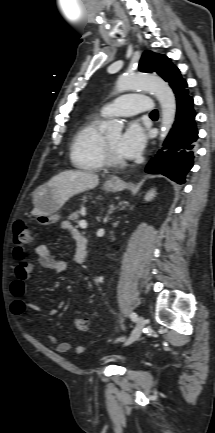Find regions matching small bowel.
I'll use <instances>...</instances> for the list:
<instances>
[{"label": "small bowel", "mask_w": 215, "mask_h": 433, "mask_svg": "<svg viewBox=\"0 0 215 433\" xmlns=\"http://www.w3.org/2000/svg\"><path fill=\"white\" fill-rule=\"evenodd\" d=\"M62 227L65 230H68L76 243L75 248V257L74 260L76 263H79V250L80 246L86 239L84 236L75 229L70 222H64ZM19 251L15 250V257L19 260L14 269V278L10 283V293L14 298L12 304V311L15 315L23 317L27 319V312L29 310H37L38 307L32 303H29L25 300L24 296L26 293V282L30 277L31 271L33 269V264L24 259L25 252L21 253L23 256H19ZM35 255L39 260V263L47 268L52 269L56 273H64L67 270V263L63 260L55 259L52 255L49 247L47 245H38L35 248ZM56 313L55 310L50 312V315H54ZM50 341L56 346V350L59 353H66L71 349V344L67 341L59 342L57 337L54 335L50 336ZM76 352L81 353L84 351L83 345H77L75 348Z\"/></svg>", "instance_id": "small-bowel-1"}]
</instances>
